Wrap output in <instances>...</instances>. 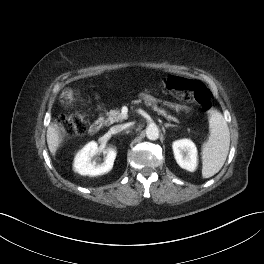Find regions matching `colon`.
I'll return each mask as SVG.
<instances>
[{"instance_id":"colon-1","label":"colon","mask_w":264,"mask_h":264,"mask_svg":"<svg viewBox=\"0 0 264 264\" xmlns=\"http://www.w3.org/2000/svg\"><path fill=\"white\" fill-rule=\"evenodd\" d=\"M163 83L183 101H194L205 110H209L212 106L211 92L202 83L176 76L165 78ZM77 100L76 93L72 89H67L62 94V101L67 105L74 104ZM85 129L86 119L82 113L64 116L60 122L61 135L64 139L83 134Z\"/></svg>"}]
</instances>
